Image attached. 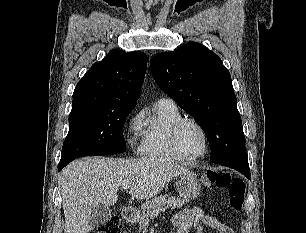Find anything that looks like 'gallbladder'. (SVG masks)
<instances>
[{
  "instance_id": "bac80fb5",
  "label": "gallbladder",
  "mask_w": 306,
  "mask_h": 233,
  "mask_svg": "<svg viewBox=\"0 0 306 233\" xmlns=\"http://www.w3.org/2000/svg\"><path fill=\"white\" fill-rule=\"evenodd\" d=\"M111 216V210L106 206H96L90 214V224L93 226L103 225Z\"/></svg>"
}]
</instances>
